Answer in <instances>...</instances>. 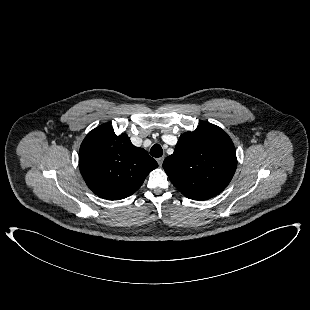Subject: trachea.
I'll list each match as a JSON object with an SVG mask.
<instances>
[{
  "instance_id": "trachea-1",
  "label": "trachea",
  "mask_w": 310,
  "mask_h": 310,
  "mask_svg": "<svg viewBox=\"0 0 310 310\" xmlns=\"http://www.w3.org/2000/svg\"><path fill=\"white\" fill-rule=\"evenodd\" d=\"M150 154L156 158L161 157L163 155L162 147L159 144L153 145L150 150Z\"/></svg>"
}]
</instances>
